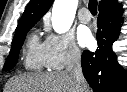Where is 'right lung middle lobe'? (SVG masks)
Segmentation results:
<instances>
[{
  "label": "right lung middle lobe",
  "mask_w": 127,
  "mask_h": 92,
  "mask_svg": "<svg viewBox=\"0 0 127 92\" xmlns=\"http://www.w3.org/2000/svg\"><path fill=\"white\" fill-rule=\"evenodd\" d=\"M33 26L34 25L26 27V28L20 30L19 32L15 33V36H14L13 41H12V48H11L10 54L8 55L6 62L4 64V67H3L4 71H8L15 66V64L18 60L19 50L22 47V44L25 40L26 33Z\"/></svg>",
  "instance_id": "obj_1"
}]
</instances>
